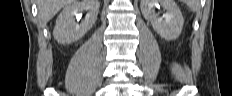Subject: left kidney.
<instances>
[{
    "label": "left kidney",
    "instance_id": "1",
    "mask_svg": "<svg viewBox=\"0 0 232 96\" xmlns=\"http://www.w3.org/2000/svg\"><path fill=\"white\" fill-rule=\"evenodd\" d=\"M161 4L166 14L159 17L154 6ZM141 11L145 19L149 20L154 30L166 40H174L182 32L184 19L174 0H141Z\"/></svg>",
    "mask_w": 232,
    "mask_h": 96
}]
</instances>
